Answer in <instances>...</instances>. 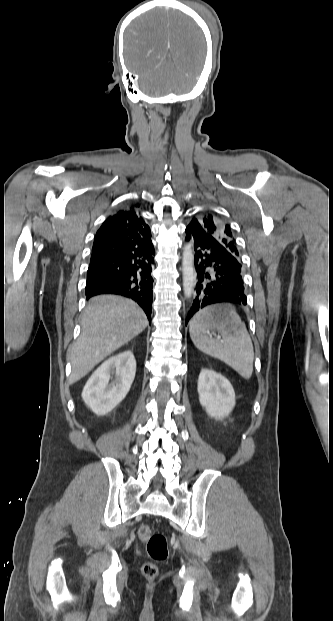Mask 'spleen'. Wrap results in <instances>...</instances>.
<instances>
[{
    "label": "spleen",
    "instance_id": "3e777b00",
    "mask_svg": "<svg viewBox=\"0 0 333 621\" xmlns=\"http://www.w3.org/2000/svg\"><path fill=\"white\" fill-rule=\"evenodd\" d=\"M210 307L195 314L190 321V337L196 348L204 354L216 358L233 368L244 379L253 373L254 349L246 326L238 316L229 324L210 323ZM217 331L222 340L208 335Z\"/></svg>",
    "mask_w": 333,
    "mask_h": 621
}]
</instances>
